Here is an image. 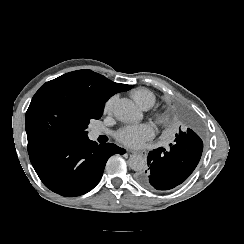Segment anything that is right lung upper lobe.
I'll return each instance as SVG.
<instances>
[{
  "label": "right lung upper lobe",
  "mask_w": 244,
  "mask_h": 244,
  "mask_svg": "<svg viewBox=\"0 0 244 244\" xmlns=\"http://www.w3.org/2000/svg\"><path fill=\"white\" fill-rule=\"evenodd\" d=\"M57 80L76 83L88 89L95 97L106 102L114 93L126 89L129 85L115 83L91 70H79L64 74ZM54 79V80H56Z\"/></svg>",
  "instance_id": "cb5924a9"
}]
</instances>
